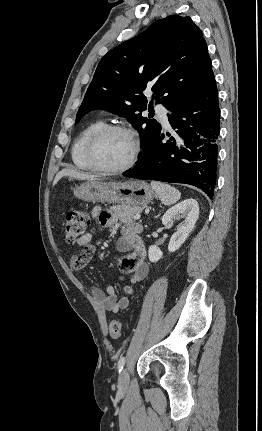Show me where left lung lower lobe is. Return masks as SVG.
<instances>
[{"mask_svg": "<svg viewBox=\"0 0 262 431\" xmlns=\"http://www.w3.org/2000/svg\"><path fill=\"white\" fill-rule=\"evenodd\" d=\"M218 90L213 79L168 116L175 130L164 141L160 132L143 150L133 170L124 176L170 183H184L214 194L220 130ZM170 136V134H167Z\"/></svg>", "mask_w": 262, "mask_h": 431, "instance_id": "1", "label": "left lung lower lobe"}]
</instances>
